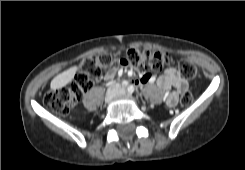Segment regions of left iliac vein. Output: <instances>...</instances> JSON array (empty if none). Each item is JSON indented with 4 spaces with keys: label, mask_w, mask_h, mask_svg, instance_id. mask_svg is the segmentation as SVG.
<instances>
[{
    "label": "left iliac vein",
    "mask_w": 245,
    "mask_h": 170,
    "mask_svg": "<svg viewBox=\"0 0 245 170\" xmlns=\"http://www.w3.org/2000/svg\"><path fill=\"white\" fill-rule=\"evenodd\" d=\"M125 94V90L124 89H121L120 91H119V95H124Z\"/></svg>",
    "instance_id": "obj_1"
}]
</instances>
